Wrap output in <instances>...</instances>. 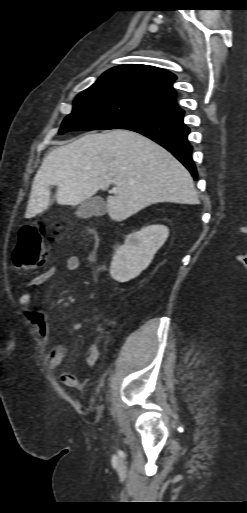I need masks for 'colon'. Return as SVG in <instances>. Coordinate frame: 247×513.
Returning a JSON list of instances; mask_svg holds the SVG:
<instances>
[{
  "label": "colon",
  "instance_id": "5ec220e1",
  "mask_svg": "<svg viewBox=\"0 0 247 513\" xmlns=\"http://www.w3.org/2000/svg\"><path fill=\"white\" fill-rule=\"evenodd\" d=\"M34 224L24 225L18 233L12 260L16 270H29L44 264L48 244L55 243L58 230Z\"/></svg>",
  "mask_w": 247,
  "mask_h": 513
}]
</instances>
